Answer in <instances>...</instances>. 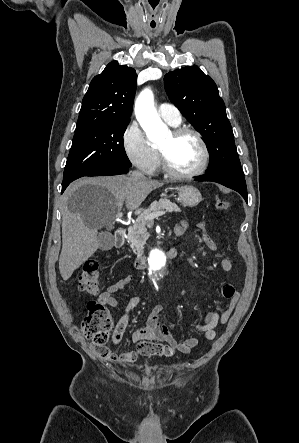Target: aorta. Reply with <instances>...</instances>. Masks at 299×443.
<instances>
[{"label":"aorta","mask_w":299,"mask_h":443,"mask_svg":"<svg viewBox=\"0 0 299 443\" xmlns=\"http://www.w3.org/2000/svg\"><path fill=\"white\" fill-rule=\"evenodd\" d=\"M135 115L149 141L157 142L165 138L168 127L162 122L154 107V96L150 89H144L135 101ZM151 271H159L166 265L165 255L154 250L149 257Z\"/></svg>","instance_id":"obj_1"}]
</instances>
